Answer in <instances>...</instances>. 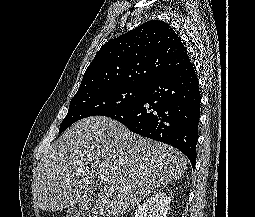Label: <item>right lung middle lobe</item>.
Masks as SVG:
<instances>
[{"label": "right lung middle lobe", "instance_id": "1", "mask_svg": "<svg viewBox=\"0 0 255 217\" xmlns=\"http://www.w3.org/2000/svg\"><path fill=\"white\" fill-rule=\"evenodd\" d=\"M145 89L146 86L115 85L77 91L59 133L80 119L96 115L106 116L130 107L141 98Z\"/></svg>", "mask_w": 255, "mask_h": 217}]
</instances>
